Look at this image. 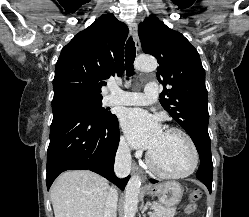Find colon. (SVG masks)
I'll use <instances>...</instances> for the list:
<instances>
[{
	"label": "colon",
	"mask_w": 249,
	"mask_h": 217,
	"mask_svg": "<svg viewBox=\"0 0 249 217\" xmlns=\"http://www.w3.org/2000/svg\"><path fill=\"white\" fill-rule=\"evenodd\" d=\"M201 197V191L199 189H192L189 192V200L190 203L186 206L185 208V213L186 214H192L196 211V202L200 199Z\"/></svg>",
	"instance_id": "5ec220e1"
}]
</instances>
